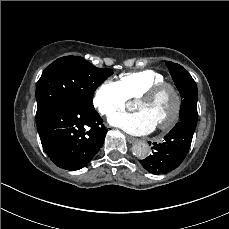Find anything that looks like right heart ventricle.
<instances>
[{"mask_svg":"<svg viewBox=\"0 0 229 229\" xmlns=\"http://www.w3.org/2000/svg\"><path fill=\"white\" fill-rule=\"evenodd\" d=\"M166 82V77L152 69L127 72L120 75L118 84L128 99L139 98L148 89Z\"/></svg>","mask_w":229,"mask_h":229,"instance_id":"right-heart-ventricle-1","label":"right heart ventricle"}]
</instances>
